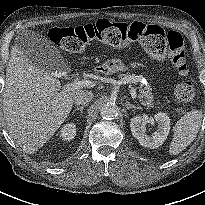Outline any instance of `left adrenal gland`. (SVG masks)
<instances>
[{"label": "left adrenal gland", "mask_w": 205, "mask_h": 205, "mask_svg": "<svg viewBox=\"0 0 205 205\" xmlns=\"http://www.w3.org/2000/svg\"><path fill=\"white\" fill-rule=\"evenodd\" d=\"M125 106L128 110L133 109V108L134 109H142L141 107H137L135 105L130 104V102H128V101L125 102Z\"/></svg>", "instance_id": "a2214340"}]
</instances>
